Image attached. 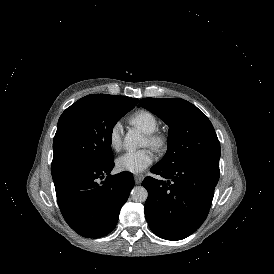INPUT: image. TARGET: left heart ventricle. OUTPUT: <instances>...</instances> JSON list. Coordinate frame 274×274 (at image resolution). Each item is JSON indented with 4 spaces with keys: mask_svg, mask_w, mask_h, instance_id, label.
<instances>
[{
    "mask_svg": "<svg viewBox=\"0 0 274 274\" xmlns=\"http://www.w3.org/2000/svg\"><path fill=\"white\" fill-rule=\"evenodd\" d=\"M146 145H148V141H147V139H146V141H145V144H144V146H146Z\"/></svg>",
    "mask_w": 274,
    "mask_h": 274,
    "instance_id": "left-heart-ventricle-1",
    "label": "left heart ventricle"
}]
</instances>
